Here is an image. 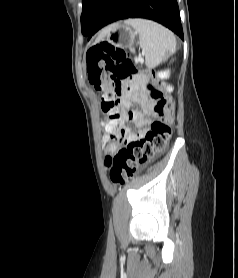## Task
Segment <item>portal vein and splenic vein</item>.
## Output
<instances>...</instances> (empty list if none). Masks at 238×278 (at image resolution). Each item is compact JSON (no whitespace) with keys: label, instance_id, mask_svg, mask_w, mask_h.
Here are the masks:
<instances>
[{"label":"portal vein and splenic vein","instance_id":"portal-vein-and-splenic-vein-1","mask_svg":"<svg viewBox=\"0 0 238 278\" xmlns=\"http://www.w3.org/2000/svg\"><path fill=\"white\" fill-rule=\"evenodd\" d=\"M138 61L143 62V58L141 56H139Z\"/></svg>","mask_w":238,"mask_h":278}]
</instances>
